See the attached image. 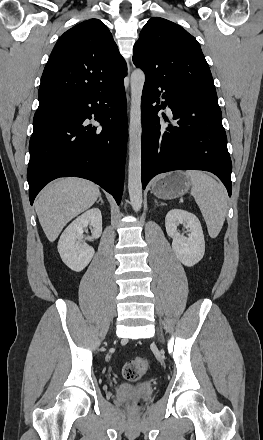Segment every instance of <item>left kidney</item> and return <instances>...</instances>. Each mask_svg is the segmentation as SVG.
Wrapping results in <instances>:
<instances>
[{"instance_id":"obj_1","label":"left kidney","mask_w":263,"mask_h":440,"mask_svg":"<svg viewBox=\"0 0 263 440\" xmlns=\"http://www.w3.org/2000/svg\"><path fill=\"white\" fill-rule=\"evenodd\" d=\"M182 224L189 229L190 234L185 237L177 227ZM166 232L173 239L172 249L182 264L192 267L197 264L205 253V240L199 219L182 209L170 210L165 218Z\"/></svg>"}]
</instances>
